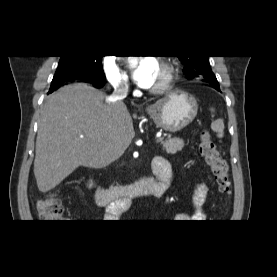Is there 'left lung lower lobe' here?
<instances>
[{
    "mask_svg": "<svg viewBox=\"0 0 277 277\" xmlns=\"http://www.w3.org/2000/svg\"><path fill=\"white\" fill-rule=\"evenodd\" d=\"M203 81L211 84V87H213L217 91H220L219 83L217 81H214V80H203Z\"/></svg>",
    "mask_w": 277,
    "mask_h": 277,
    "instance_id": "1",
    "label": "left lung lower lobe"
}]
</instances>
